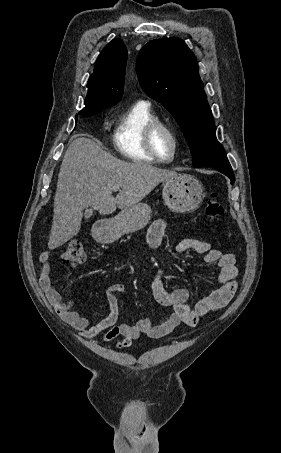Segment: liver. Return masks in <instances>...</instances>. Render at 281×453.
<instances>
[{
  "label": "liver",
  "mask_w": 281,
  "mask_h": 453,
  "mask_svg": "<svg viewBox=\"0 0 281 453\" xmlns=\"http://www.w3.org/2000/svg\"><path fill=\"white\" fill-rule=\"evenodd\" d=\"M175 176V170H162L151 162L120 160L92 138H75L58 174L48 249H57L78 235L84 208L91 206L99 214H112L117 206H135L157 184ZM117 184L122 190L113 196L112 186Z\"/></svg>",
  "instance_id": "6515ba94"
}]
</instances>
